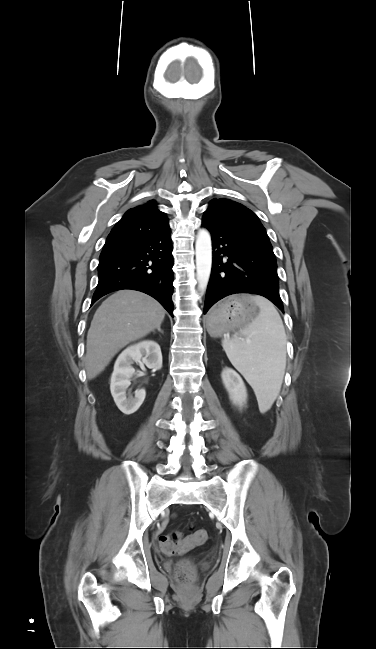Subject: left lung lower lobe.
I'll use <instances>...</instances> for the list:
<instances>
[{
  "label": "left lung lower lobe",
  "instance_id": "left-lung-lower-lobe-1",
  "mask_svg": "<svg viewBox=\"0 0 376 649\" xmlns=\"http://www.w3.org/2000/svg\"><path fill=\"white\" fill-rule=\"evenodd\" d=\"M202 225L211 233L214 250L204 314L217 301L235 293L264 296L284 312L272 247L206 215Z\"/></svg>",
  "mask_w": 376,
  "mask_h": 649
}]
</instances>
